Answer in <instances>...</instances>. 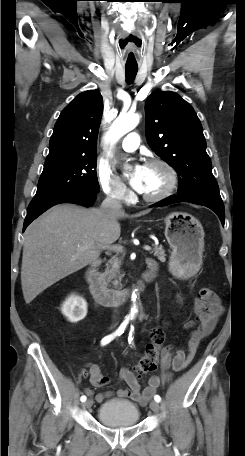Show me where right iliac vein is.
<instances>
[{"mask_svg": "<svg viewBox=\"0 0 245 456\" xmlns=\"http://www.w3.org/2000/svg\"><path fill=\"white\" fill-rule=\"evenodd\" d=\"M93 404V401L91 399H88L86 402L83 403L84 408H90Z\"/></svg>", "mask_w": 245, "mask_h": 456, "instance_id": "right-iliac-vein-1", "label": "right iliac vein"}]
</instances>
